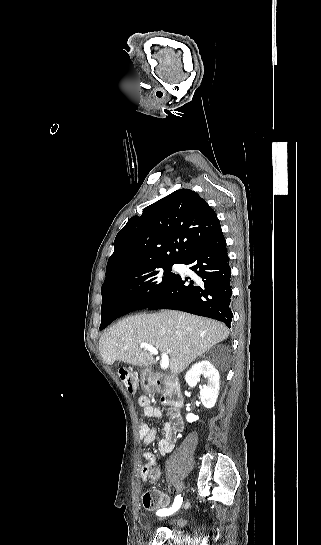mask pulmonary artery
Returning <instances> with one entry per match:
<instances>
[{
	"mask_svg": "<svg viewBox=\"0 0 321 545\" xmlns=\"http://www.w3.org/2000/svg\"><path fill=\"white\" fill-rule=\"evenodd\" d=\"M178 267H179V265H175V266H174L175 269L178 268Z\"/></svg>",
	"mask_w": 321,
	"mask_h": 545,
	"instance_id": "pulmonary-artery-1",
	"label": "pulmonary artery"
}]
</instances>
